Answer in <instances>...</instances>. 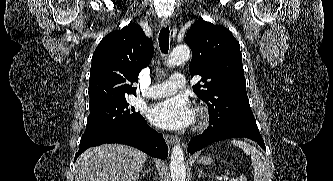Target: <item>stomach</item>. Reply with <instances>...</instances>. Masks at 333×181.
<instances>
[{
	"label": "stomach",
	"mask_w": 333,
	"mask_h": 181,
	"mask_svg": "<svg viewBox=\"0 0 333 181\" xmlns=\"http://www.w3.org/2000/svg\"><path fill=\"white\" fill-rule=\"evenodd\" d=\"M199 163L202 165H209L212 163V159L210 157L203 156L199 159Z\"/></svg>",
	"instance_id": "stomach-1"
}]
</instances>
